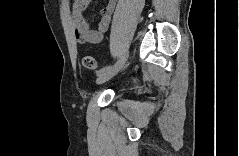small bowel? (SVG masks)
<instances>
[{
	"instance_id": "obj_1",
	"label": "small bowel",
	"mask_w": 239,
	"mask_h": 156,
	"mask_svg": "<svg viewBox=\"0 0 239 156\" xmlns=\"http://www.w3.org/2000/svg\"><path fill=\"white\" fill-rule=\"evenodd\" d=\"M90 0H74L72 4V28L75 40L80 43H100L103 34L107 31L111 22V16L116 6L115 0H108L100 11V19L95 29H92L84 18Z\"/></svg>"
}]
</instances>
